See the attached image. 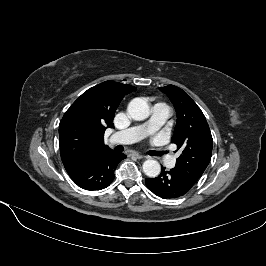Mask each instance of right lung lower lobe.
Instances as JSON below:
<instances>
[{
  "label": "right lung lower lobe",
  "mask_w": 266,
  "mask_h": 266,
  "mask_svg": "<svg viewBox=\"0 0 266 266\" xmlns=\"http://www.w3.org/2000/svg\"><path fill=\"white\" fill-rule=\"evenodd\" d=\"M124 158V154L109 150L86 159L67 172L79 187L86 190H101L113 181L114 171Z\"/></svg>",
  "instance_id": "98d812e1"
}]
</instances>
